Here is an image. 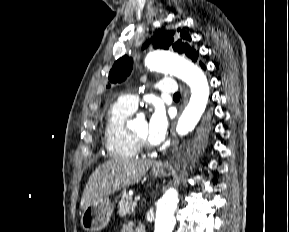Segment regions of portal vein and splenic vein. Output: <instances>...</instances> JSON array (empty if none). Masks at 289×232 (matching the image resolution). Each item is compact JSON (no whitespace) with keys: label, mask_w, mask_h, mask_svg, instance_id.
Instances as JSON below:
<instances>
[{"label":"portal vein and splenic vein","mask_w":289,"mask_h":232,"mask_svg":"<svg viewBox=\"0 0 289 232\" xmlns=\"http://www.w3.org/2000/svg\"><path fill=\"white\" fill-rule=\"evenodd\" d=\"M135 202L139 201L140 200V197H135Z\"/></svg>","instance_id":"18ae733b"}]
</instances>
